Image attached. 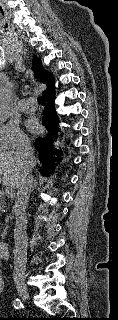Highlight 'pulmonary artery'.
<instances>
[{
    "instance_id": "1",
    "label": "pulmonary artery",
    "mask_w": 118,
    "mask_h": 320,
    "mask_svg": "<svg viewBox=\"0 0 118 320\" xmlns=\"http://www.w3.org/2000/svg\"><path fill=\"white\" fill-rule=\"evenodd\" d=\"M37 108V104L33 99H24L20 102V109L24 112H33Z\"/></svg>"
}]
</instances>
